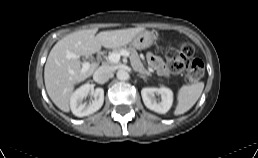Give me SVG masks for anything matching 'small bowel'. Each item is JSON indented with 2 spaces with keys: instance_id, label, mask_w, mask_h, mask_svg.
<instances>
[{
  "instance_id": "1",
  "label": "small bowel",
  "mask_w": 258,
  "mask_h": 158,
  "mask_svg": "<svg viewBox=\"0 0 258 158\" xmlns=\"http://www.w3.org/2000/svg\"><path fill=\"white\" fill-rule=\"evenodd\" d=\"M147 62L159 75L164 77H168L170 75L168 68L160 57L149 53L147 55Z\"/></svg>"
}]
</instances>
